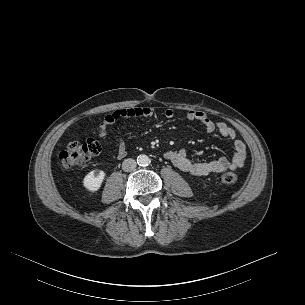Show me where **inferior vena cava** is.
<instances>
[{"label": "inferior vena cava", "instance_id": "obj_1", "mask_svg": "<svg viewBox=\"0 0 305 305\" xmlns=\"http://www.w3.org/2000/svg\"><path fill=\"white\" fill-rule=\"evenodd\" d=\"M136 161L132 158L125 159L122 163V169L125 172H130L136 168Z\"/></svg>", "mask_w": 305, "mask_h": 305}]
</instances>
